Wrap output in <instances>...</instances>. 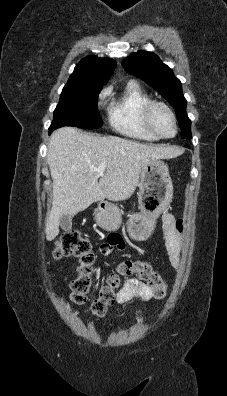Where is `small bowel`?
<instances>
[{
  "instance_id": "small-bowel-1",
  "label": "small bowel",
  "mask_w": 227,
  "mask_h": 396,
  "mask_svg": "<svg viewBox=\"0 0 227 396\" xmlns=\"http://www.w3.org/2000/svg\"><path fill=\"white\" fill-rule=\"evenodd\" d=\"M162 220L164 245L172 265L178 268L181 253L180 234L183 232L182 222L176 220L171 214H164ZM123 248L124 242L121 236L110 234L107 241L101 245V252L104 255H108L114 249L120 250ZM153 294L154 290L150 285L136 278H127L116 294V301L120 305H129L132 301L146 302L153 297ZM133 311L136 314L142 313L140 309H134Z\"/></svg>"
}]
</instances>
